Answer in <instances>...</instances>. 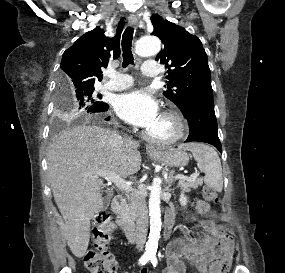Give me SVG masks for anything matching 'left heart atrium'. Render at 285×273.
<instances>
[{"instance_id":"39dd6f15","label":"left heart atrium","mask_w":285,"mask_h":273,"mask_svg":"<svg viewBox=\"0 0 285 273\" xmlns=\"http://www.w3.org/2000/svg\"><path fill=\"white\" fill-rule=\"evenodd\" d=\"M114 107L120 118L146 130L160 118L157 101L142 90L120 95Z\"/></svg>"}]
</instances>
